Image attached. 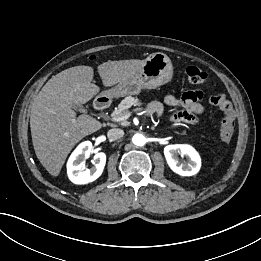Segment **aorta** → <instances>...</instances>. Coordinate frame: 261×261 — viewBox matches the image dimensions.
<instances>
[{"label": "aorta", "mask_w": 261, "mask_h": 261, "mask_svg": "<svg viewBox=\"0 0 261 261\" xmlns=\"http://www.w3.org/2000/svg\"><path fill=\"white\" fill-rule=\"evenodd\" d=\"M132 142L137 146H143L146 143V138L142 134H135Z\"/></svg>", "instance_id": "1"}]
</instances>
